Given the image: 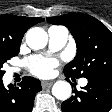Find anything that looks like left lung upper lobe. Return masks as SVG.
Here are the masks:
<instances>
[{"label": "left lung upper lobe", "instance_id": "1", "mask_svg": "<svg viewBox=\"0 0 112 112\" xmlns=\"http://www.w3.org/2000/svg\"><path fill=\"white\" fill-rule=\"evenodd\" d=\"M55 25H64L72 33L77 55L64 67L71 77H112V33L96 18L82 13L47 17Z\"/></svg>", "mask_w": 112, "mask_h": 112}]
</instances>
